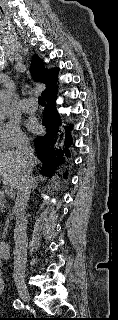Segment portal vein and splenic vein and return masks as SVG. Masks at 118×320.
Returning <instances> with one entry per match:
<instances>
[{"instance_id":"portal-vein-and-splenic-vein-1","label":"portal vein and splenic vein","mask_w":118,"mask_h":320,"mask_svg":"<svg viewBox=\"0 0 118 320\" xmlns=\"http://www.w3.org/2000/svg\"><path fill=\"white\" fill-rule=\"evenodd\" d=\"M4 192L8 196H13V187L11 185H5L4 186Z\"/></svg>"}]
</instances>
